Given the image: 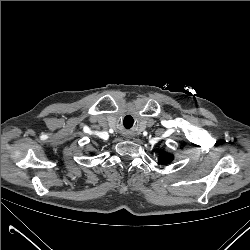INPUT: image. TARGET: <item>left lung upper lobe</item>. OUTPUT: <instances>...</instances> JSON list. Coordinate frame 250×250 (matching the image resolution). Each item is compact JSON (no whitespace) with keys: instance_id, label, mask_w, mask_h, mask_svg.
<instances>
[{"instance_id":"1","label":"left lung upper lobe","mask_w":250,"mask_h":250,"mask_svg":"<svg viewBox=\"0 0 250 250\" xmlns=\"http://www.w3.org/2000/svg\"><path fill=\"white\" fill-rule=\"evenodd\" d=\"M172 160H173V155L167 153L162 154L158 159L159 163L161 164L170 163Z\"/></svg>"}]
</instances>
